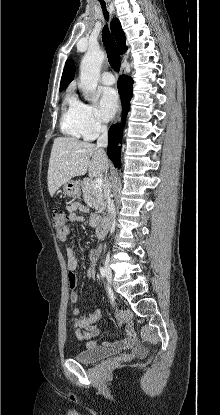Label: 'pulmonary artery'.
Instances as JSON below:
<instances>
[{
	"instance_id": "pulmonary-artery-1",
	"label": "pulmonary artery",
	"mask_w": 220,
	"mask_h": 415,
	"mask_svg": "<svg viewBox=\"0 0 220 415\" xmlns=\"http://www.w3.org/2000/svg\"><path fill=\"white\" fill-rule=\"evenodd\" d=\"M115 81H116V79H115L114 74L109 72V71L104 72L101 76V82L104 85H113L115 83Z\"/></svg>"
}]
</instances>
